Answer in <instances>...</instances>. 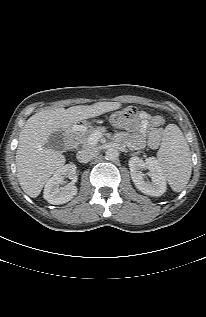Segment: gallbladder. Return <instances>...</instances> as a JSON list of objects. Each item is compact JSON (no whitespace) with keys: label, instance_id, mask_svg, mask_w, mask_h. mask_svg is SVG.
<instances>
[{"label":"gallbladder","instance_id":"1","mask_svg":"<svg viewBox=\"0 0 206 317\" xmlns=\"http://www.w3.org/2000/svg\"><path fill=\"white\" fill-rule=\"evenodd\" d=\"M46 146L54 151H64L65 149V134L63 130L54 132L49 136Z\"/></svg>","mask_w":206,"mask_h":317}]
</instances>
